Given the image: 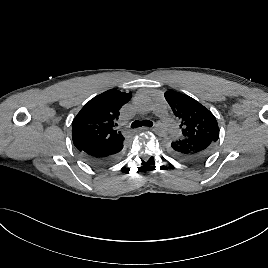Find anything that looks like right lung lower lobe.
I'll list each match as a JSON object with an SVG mask.
<instances>
[{
  "instance_id": "obj_1",
  "label": "right lung lower lobe",
  "mask_w": 268,
  "mask_h": 268,
  "mask_svg": "<svg viewBox=\"0 0 268 268\" xmlns=\"http://www.w3.org/2000/svg\"><path fill=\"white\" fill-rule=\"evenodd\" d=\"M123 141L118 144L108 146L88 147L86 149L79 150V152L87 161L93 164H110L120 157L124 146Z\"/></svg>"
}]
</instances>
